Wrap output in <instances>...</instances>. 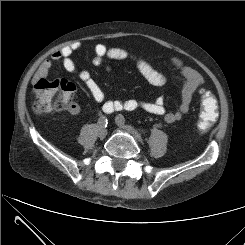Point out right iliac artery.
<instances>
[{
	"label": "right iliac artery",
	"mask_w": 245,
	"mask_h": 245,
	"mask_svg": "<svg viewBox=\"0 0 245 245\" xmlns=\"http://www.w3.org/2000/svg\"><path fill=\"white\" fill-rule=\"evenodd\" d=\"M98 123H99V125L106 127L108 124V120H107L106 116H101L98 120Z\"/></svg>",
	"instance_id": "1"
}]
</instances>
